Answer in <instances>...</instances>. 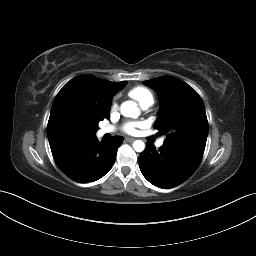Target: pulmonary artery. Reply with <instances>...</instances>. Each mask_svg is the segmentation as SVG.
I'll list each match as a JSON object with an SVG mask.
<instances>
[{
	"label": "pulmonary artery",
	"mask_w": 256,
	"mask_h": 256,
	"mask_svg": "<svg viewBox=\"0 0 256 256\" xmlns=\"http://www.w3.org/2000/svg\"><path fill=\"white\" fill-rule=\"evenodd\" d=\"M148 105H146V106H143L142 108L143 109H148ZM114 131V127H111V126H105V127H102L100 130H99V133L101 134V135H103V134H106V133H110V132H113ZM163 143H164V139H160V140H158V142H157V146L158 147H161L162 145H163Z\"/></svg>",
	"instance_id": "pulmonary-artery-1"
}]
</instances>
